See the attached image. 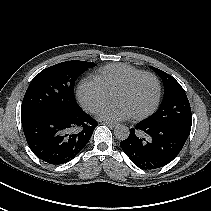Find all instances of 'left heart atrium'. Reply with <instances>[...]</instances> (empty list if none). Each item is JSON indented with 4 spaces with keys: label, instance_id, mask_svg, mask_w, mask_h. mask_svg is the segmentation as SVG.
<instances>
[{
    "label": "left heart atrium",
    "instance_id": "39dd6f15",
    "mask_svg": "<svg viewBox=\"0 0 211 211\" xmlns=\"http://www.w3.org/2000/svg\"><path fill=\"white\" fill-rule=\"evenodd\" d=\"M97 116L102 120L117 122L130 118L132 114L124 105L114 102L102 108Z\"/></svg>",
    "mask_w": 211,
    "mask_h": 211
}]
</instances>
